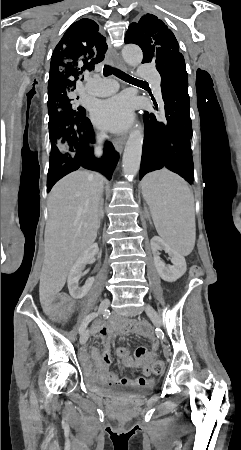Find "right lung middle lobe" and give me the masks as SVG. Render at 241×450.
Here are the masks:
<instances>
[{
    "label": "right lung middle lobe",
    "mask_w": 241,
    "mask_h": 450,
    "mask_svg": "<svg viewBox=\"0 0 241 450\" xmlns=\"http://www.w3.org/2000/svg\"><path fill=\"white\" fill-rule=\"evenodd\" d=\"M78 99L79 97L76 98L69 94L48 100L51 156L74 152L72 143L60 128L64 124L81 121L86 117V111L78 103Z\"/></svg>",
    "instance_id": "dd1d6c3e"
}]
</instances>
